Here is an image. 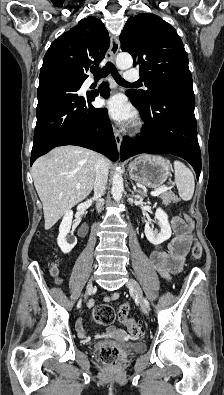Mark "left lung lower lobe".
I'll return each mask as SVG.
<instances>
[{"mask_svg": "<svg viewBox=\"0 0 224 395\" xmlns=\"http://www.w3.org/2000/svg\"><path fill=\"white\" fill-rule=\"evenodd\" d=\"M145 121L142 137L124 140L120 149L121 160L141 154L170 153L187 160L197 178L201 172V153L197 139L193 93H175L157 98L150 104L138 101L127 93Z\"/></svg>", "mask_w": 224, "mask_h": 395, "instance_id": "1", "label": "left lung lower lobe"}]
</instances>
